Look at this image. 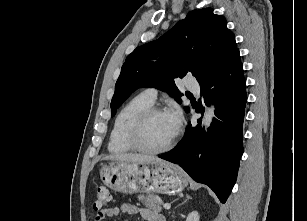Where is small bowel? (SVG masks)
I'll use <instances>...</instances> for the list:
<instances>
[{"label":"small bowel","mask_w":307,"mask_h":221,"mask_svg":"<svg viewBox=\"0 0 307 221\" xmlns=\"http://www.w3.org/2000/svg\"><path fill=\"white\" fill-rule=\"evenodd\" d=\"M121 213L128 215H140L144 221H165L163 215L155 209L139 208L133 204H121L100 210L94 221H105L108 217H114Z\"/></svg>","instance_id":"obj_1"}]
</instances>
